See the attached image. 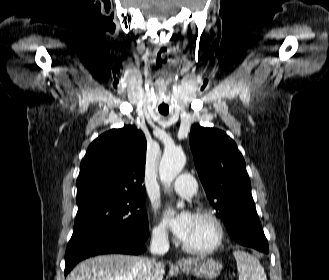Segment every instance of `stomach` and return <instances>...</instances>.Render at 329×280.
Wrapping results in <instances>:
<instances>
[{
    "label": "stomach",
    "instance_id": "1",
    "mask_svg": "<svg viewBox=\"0 0 329 280\" xmlns=\"http://www.w3.org/2000/svg\"><path fill=\"white\" fill-rule=\"evenodd\" d=\"M180 268L183 272L189 275L206 279H213L220 274L222 265L220 262L214 259L204 258L194 260L188 265L180 266Z\"/></svg>",
    "mask_w": 329,
    "mask_h": 280
}]
</instances>
